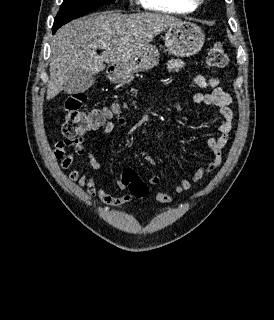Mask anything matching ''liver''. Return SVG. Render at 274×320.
I'll return each instance as SVG.
<instances>
[{
  "instance_id": "6515ba94",
  "label": "liver",
  "mask_w": 274,
  "mask_h": 320,
  "mask_svg": "<svg viewBox=\"0 0 274 320\" xmlns=\"http://www.w3.org/2000/svg\"><path fill=\"white\" fill-rule=\"evenodd\" d=\"M182 22L168 14H119L99 12L62 26L51 42L50 82L46 100L59 92L72 94V78L94 76L106 64L131 60L154 40L155 36ZM106 44L101 56L97 50Z\"/></svg>"
}]
</instances>
